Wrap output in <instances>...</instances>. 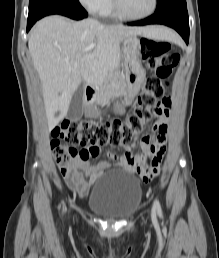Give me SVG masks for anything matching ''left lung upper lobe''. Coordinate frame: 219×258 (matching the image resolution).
Listing matches in <instances>:
<instances>
[{
    "instance_id": "1",
    "label": "left lung upper lobe",
    "mask_w": 219,
    "mask_h": 258,
    "mask_svg": "<svg viewBox=\"0 0 219 258\" xmlns=\"http://www.w3.org/2000/svg\"><path fill=\"white\" fill-rule=\"evenodd\" d=\"M170 6H186L185 0H157L156 11H161Z\"/></svg>"
}]
</instances>
